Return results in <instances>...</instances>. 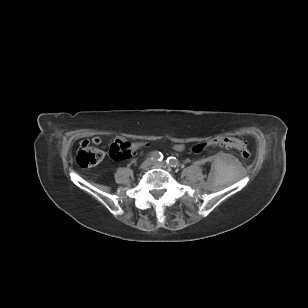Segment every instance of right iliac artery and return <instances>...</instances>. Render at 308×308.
Wrapping results in <instances>:
<instances>
[{
    "label": "right iliac artery",
    "mask_w": 308,
    "mask_h": 308,
    "mask_svg": "<svg viewBox=\"0 0 308 308\" xmlns=\"http://www.w3.org/2000/svg\"><path fill=\"white\" fill-rule=\"evenodd\" d=\"M152 160H155V161H162L163 159V155L161 152H158V151H154V152H151L149 153L148 155Z\"/></svg>",
    "instance_id": "1"
}]
</instances>
